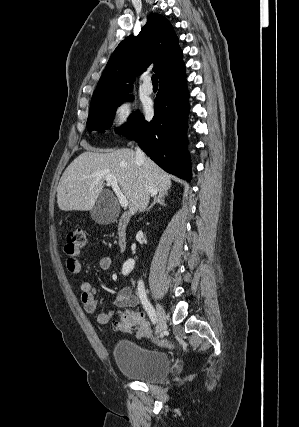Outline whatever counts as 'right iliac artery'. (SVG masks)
Here are the masks:
<instances>
[{"instance_id":"82829eb1","label":"right iliac artery","mask_w":299,"mask_h":427,"mask_svg":"<svg viewBox=\"0 0 299 427\" xmlns=\"http://www.w3.org/2000/svg\"><path fill=\"white\" fill-rule=\"evenodd\" d=\"M137 293H138L140 301H141L144 309L146 310L149 318L151 319L152 323L155 324L157 322L156 313H155V310L153 309L152 305L150 304V302L147 298L144 283L142 280L138 281Z\"/></svg>"}]
</instances>
